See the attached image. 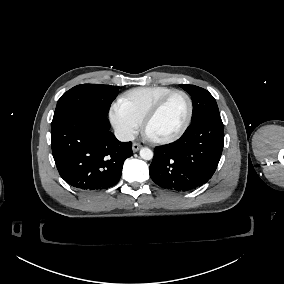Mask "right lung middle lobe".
Instances as JSON below:
<instances>
[{"mask_svg": "<svg viewBox=\"0 0 284 284\" xmlns=\"http://www.w3.org/2000/svg\"><path fill=\"white\" fill-rule=\"evenodd\" d=\"M118 90V86L110 85H77L60 97L53 120L75 109H91L107 116L110 105L118 94Z\"/></svg>", "mask_w": 284, "mask_h": 284, "instance_id": "right-lung-middle-lobe-1", "label": "right lung middle lobe"}]
</instances>
